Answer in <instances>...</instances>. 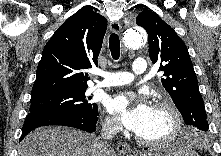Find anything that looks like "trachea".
I'll list each match as a JSON object with an SVG mask.
<instances>
[{
	"label": "trachea",
	"instance_id": "3493384b",
	"mask_svg": "<svg viewBox=\"0 0 221 156\" xmlns=\"http://www.w3.org/2000/svg\"><path fill=\"white\" fill-rule=\"evenodd\" d=\"M109 48L112 58L118 60L120 57V40L116 33H112L109 37Z\"/></svg>",
	"mask_w": 221,
	"mask_h": 156
}]
</instances>
